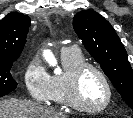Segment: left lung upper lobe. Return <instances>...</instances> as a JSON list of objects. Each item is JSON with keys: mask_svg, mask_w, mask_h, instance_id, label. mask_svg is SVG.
Listing matches in <instances>:
<instances>
[{"mask_svg": "<svg viewBox=\"0 0 133 118\" xmlns=\"http://www.w3.org/2000/svg\"><path fill=\"white\" fill-rule=\"evenodd\" d=\"M73 27L89 54L133 109V75L127 52L111 24L93 10L78 12Z\"/></svg>", "mask_w": 133, "mask_h": 118, "instance_id": "5c2ea615", "label": "left lung upper lobe"}]
</instances>
